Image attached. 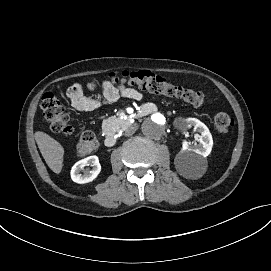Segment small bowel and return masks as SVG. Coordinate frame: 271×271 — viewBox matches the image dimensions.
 I'll list each match as a JSON object with an SVG mask.
<instances>
[{
  "mask_svg": "<svg viewBox=\"0 0 271 271\" xmlns=\"http://www.w3.org/2000/svg\"><path fill=\"white\" fill-rule=\"evenodd\" d=\"M88 90H94L95 84L88 83L86 85ZM66 95L71 102L73 109L82 112H89L99 109L103 105L112 104L118 101L121 97L131 98L135 100L142 99V94L135 88L127 87L124 84H113L109 81H104L102 84V97L94 98L84 94V87L80 83L71 85ZM153 107V104L145 105L146 109Z\"/></svg>",
  "mask_w": 271,
  "mask_h": 271,
  "instance_id": "obj_1",
  "label": "small bowel"
}]
</instances>
